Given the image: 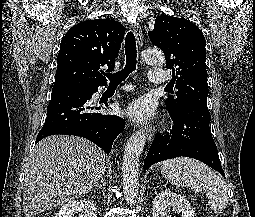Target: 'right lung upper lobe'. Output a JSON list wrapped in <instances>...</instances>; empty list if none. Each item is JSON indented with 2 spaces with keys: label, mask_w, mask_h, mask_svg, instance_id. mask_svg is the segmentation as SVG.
Segmentation results:
<instances>
[{
  "label": "right lung upper lobe",
  "mask_w": 255,
  "mask_h": 217,
  "mask_svg": "<svg viewBox=\"0 0 255 217\" xmlns=\"http://www.w3.org/2000/svg\"><path fill=\"white\" fill-rule=\"evenodd\" d=\"M125 27L110 19L81 22L63 37L57 58L55 86L105 85L103 67L114 70Z\"/></svg>",
  "instance_id": "right-lung-upper-lobe-1"
}]
</instances>
